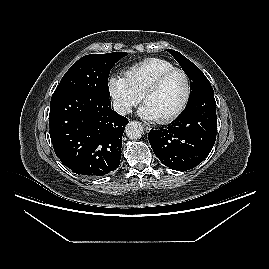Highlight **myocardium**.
I'll list each match as a JSON object with an SVG mask.
<instances>
[{"label":"myocardium","mask_w":269,"mask_h":269,"mask_svg":"<svg viewBox=\"0 0 269 269\" xmlns=\"http://www.w3.org/2000/svg\"><path fill=\"white\" fill-rule=\"evenodd\" d=\"M175 72H180L185 77V80H186L185 97H184L181 105L174 112H172L171 114H169L165 117L155 119L160 124H166V123L173 121L174 119L179 117L187 108L189 101H190V98H191V93H192V82H191L189 74L182 68H179V67L171 68L167 71H164L160 75H158L141 93V101L145 102V99L147 98V96L156 92L161 87V85L164 83V81L171 74H173Z\"/></svg>","instance_id":"obj_1"}]
</instances>
